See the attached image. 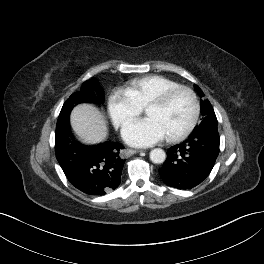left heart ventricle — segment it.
Returning a JSON list of instances; mask_svg holds the SVG:
<instances>
[{"mask_svg":"<svg viewBox=\"0 0 264 264\" xmlns=\"http://www.w3.org/2000/svg\"><path fill=\"white\" fill-rule=\"evenodd\" d=\"M193 104L187 93H179L164 107H150L145 111L163 129L165 136L183 130L191 120Z\"/></svg>","mask_w":264,"mask_h":264,"instance_id":"left-heart-ventricle-1","label":"left heart ventricle"}]
</instances>
